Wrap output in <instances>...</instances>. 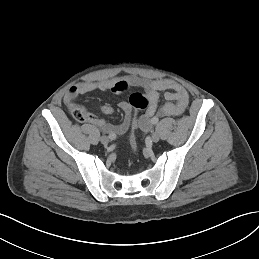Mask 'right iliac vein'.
I'll use <instances>...</instances> for the list:
<instances>
[{"mask_svg": "<svg viewBox=\"0 0 259 259\" xmlns=\"http://www.w3.org/2000/svg\"><path fill=\"white\" fill-rule=\"evenodd\" d=\"M100 141H101L102 144L106 145V144L109 143V138L107 136H102L100 138Z\"/></svg>", "mask_w": 259, "mask_h": 259, "instance_id": "63e3f726", "label": "right iliac vein"}]
</instances>
